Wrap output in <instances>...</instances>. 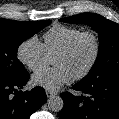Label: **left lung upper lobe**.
Returning <instances> with one entry per match:
<instances>
[{
    "label": "left lung upper lobe",
    "instance_id": "obj_1",
    "mask_svg": "<svg viewBox=\"0 0 119 119\" xmlns=\"http://www.w3.org/2000/svg\"><path fill=\"white\" fill-rule=\"evenodd\" d=\"M60 21L90 25L99 35L97 59L81 81L119 77V25L117 23L94 13H82L62 18Z\"/></svg>",
    "mask_w": 119,
    "mask_h": 119
}]
</instances>
